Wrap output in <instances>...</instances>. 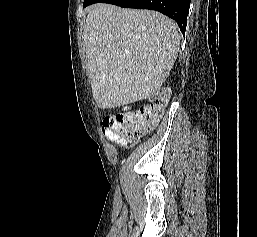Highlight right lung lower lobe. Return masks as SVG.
Segmentation results:
<instances>
[{"label": "right lung lower lobe", "instance_id": "right-lung-lower-lobe-1", "mask_svg": "<svg viewBox=\"0 0 257 237\" xmlns=\"http://www.w3.org/2000/svg\"><path fill=\"white\" fill-rule=\"evenodd\" d=\"M191 0H104L125 8L150 9L174 19L182 33H185Z\"/></svg>", "mask_w": 257, "mask_h": 237}]
</instances>
